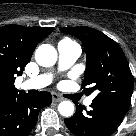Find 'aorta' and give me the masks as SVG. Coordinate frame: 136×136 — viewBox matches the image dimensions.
<instances>
[{"mask_svg": "<svg viewBox=\"0 0 136 136\" xmlns=\"http://www.w3.org/2000/svg\"><path fill=\"white\" fill-rule=\"evenodd\" d=\"M35 59L40 66L51 67L57 61V51L53 46L43 44L37 48ZM58 111L62 116L70 117L74 113V104L71 101H62L58 105Z\"/></svg>", "mask_w": 136, "mask_h": 136, "instance_id": "762f6f07", "label": "aorta"}]
</instances>
